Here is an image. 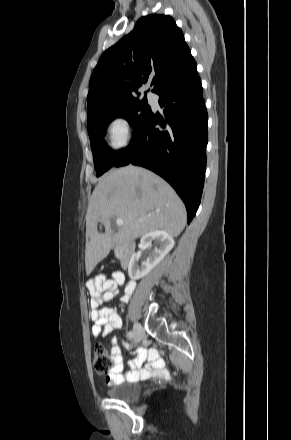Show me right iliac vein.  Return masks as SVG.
<instances>
[{
  "label": "right iliac vein",
  "instance_id": "1",
  "mask_svg": "<svg viewBox=\"0 0 291 440\" xmlns=\"http://www.w3.org/2000/svg\"><path fill=\"white\" fill-rule=\"evenodd\" d=\"M144 337L143 329L139 323L134 324V339L136 342H140Z\"/></svg>",
  "mask_w": 291,
  "mask_h": 440
}]
</instances>
